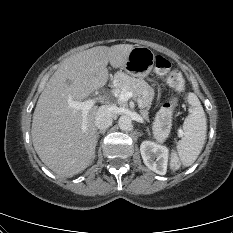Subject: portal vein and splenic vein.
<instances>
[{
	"label": "portal vein and splenic vein",
	"mask_w": 233,
	"mask_h": 233,
	"mask_svg": "<svg viewBox=\"0 0 233 233\" xmlns=\"http://www.w3.org/2000/svg\"><path fill=\"white\" fill-rule=\"evenodd\" d=\"M132 96H133V93L131 91H128L126 88H124L122 90L121 94L118 96V101L120 103H125ZM106 98H107V96L103 95V96H100L97 98L85 100L83 102L74 101L70 98V99H68V105H69V107L74 108L76 110H82L83 117L85 118L88 110H90L96 104V102H102V101L106 100Z\"/></svg>",
	"instance_id": "obj_1"
}]
</instances>
